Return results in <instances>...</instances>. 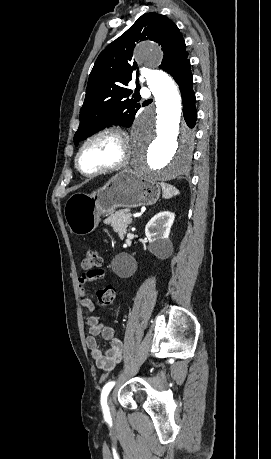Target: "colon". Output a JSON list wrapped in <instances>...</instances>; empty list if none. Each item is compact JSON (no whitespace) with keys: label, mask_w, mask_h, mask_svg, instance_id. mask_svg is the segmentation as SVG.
<instances>
[{"label":"colon","mask_w":271,"mask_h":459,"mask_svg":"<svg viewBox=\"0 0 271 459\" xmlns=\"http://www.w3.org/2000/svg\"><path fill=\"white\" fill-rule=\"evenodd\" d=\"M102 265V258L99 252L94 249L90 248L87 250L85 257L82 261V268L85 271H94L100 269ZM114 300V291L111 288H104L97 292L96 294V301L100 308L106 309L108 308Z\"/></svg>","instance_id":"obj_1"}]
</instances>
